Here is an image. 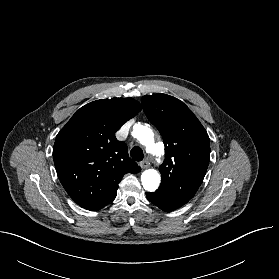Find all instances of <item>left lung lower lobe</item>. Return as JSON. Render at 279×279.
<instances>
[{"label": "left lung lower lobe", "instance_id": "1", "mask_svg": "<svg viewBox=\"0 0 279 279\" xmlns=\"http://www.w3.org/2000/svg\"><path fill=\"white\" fill-rule=\"evenodd\" d=\"M146 197L151 203H153L165 212L173 211L187 203V201L166 198L154 192H146Z\"/></svg>", "mask_w": 279, "mask_h": 279}]
</instances>
